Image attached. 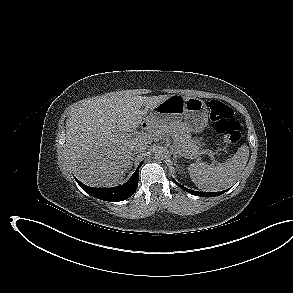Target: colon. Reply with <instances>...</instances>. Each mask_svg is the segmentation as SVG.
Returning <instances> with one entry per match:
<instances>
[{"mask_svg": "<svg viewBox=\"0 0 293 293\" xmlns=\"http://www.w3.org/2000/svg\"><path fill=\"white\" fill-rule=\"evenodd\" d=\"M209 110L210 118L217 132L222 135L224 143L229 147L235 146L241 138V132L232 108L219 100H211Z\"/></svg>", "mask_w": 293, "mask_h": 293, "instance_id": "colon-1", "label": "colon"}]
</instances>
